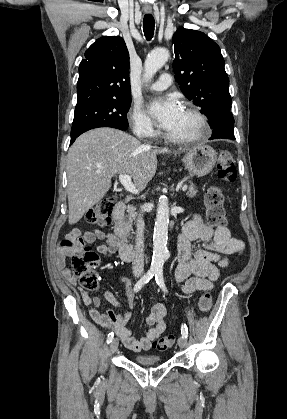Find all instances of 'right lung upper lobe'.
Returning <instances> with one entry per match:
<instances>
[{"mask_svg":"<svg viewBox=\"0 0 287 419\" xmlns=\"http://www.w3.org/2000/svg\"><path fill=\"white\" fill-rule=\"evenodd\" d=\"M129 53L119 36L97 39L79 66L77 104L80 108L98 101L131 96Z\"/></svg>","mask_w":287,"mask_h":419,"instance_id":"1","label":"right lung upper lobe"}]
</instances>
